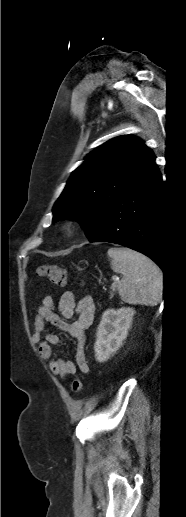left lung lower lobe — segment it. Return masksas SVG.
<instances>
[{"mask_svg":"<svg viewBox=\"0 0 186 517\" xmlns=\"http://www.w3.org/2000/svg\"><path fill=\"white\" fill-rule=\"evenodd\" d=\"M162 194V177L153 162L107 213L90 242H111L136 250L151 258L165 273L161 249Z\"/></svg>","mask_w":186,"mask_h":517,"instance_id":"obj_1","label":"left lung lower lobe"}]
</instances>
